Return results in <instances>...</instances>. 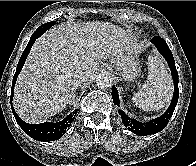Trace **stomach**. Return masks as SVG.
<instances>
[{"mask_svg": "<svg viewBox=\"0 0 196 166\" xmlns=\"http://www.w3.org/2000/svg\"><path fill=\"white\" fill-rule=\"evenodd\" d=\"M111 65L121 77L128 80L134 79L140 72L137 55L134 53H124L116 56Z\"/></svg>", "mask_w": 196, "mask_h": 166, "instance_id": "stomach-1", "label": "stomach"}]
</instances>
